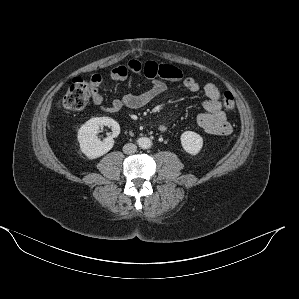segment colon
Returning <instances> with one entry per match:
<instances>
[{
  "label": "colon",
  "mask_w": 299,
  "mask_h": 299,
  "mask_svg": "<svg viewBox=\"0 0 299 299\" xmlns=\"http://www.w3.org/2000/svg\"><path fill=\"white\" fill-rule=\"evenodd\" d=\"M96 78L86 80L80 77L73 78L70 87L63 99V107L69 111H80L84 109L92 95V89ZM223 106L226 111L231 112L235 108V100L230 92L224 94Z\"/></svg>",
  "instance_id": "colon-1"
}]
</instances>
